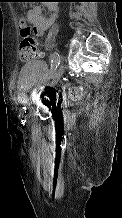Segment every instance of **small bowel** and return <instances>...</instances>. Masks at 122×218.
<instances>
[{
	"instance_id": "small-bowel-1",
	"label": "small bowel",
	"mask_w": 122,
	"mask_h": 218,
	"mask_svg": "<svg viewBox=\"0 0 122 218\" xmlns=\"http://www.w3.org/2000/svg\"><path fill=\"white\" fill-rule=\"evenodd\" d=\"M45 8L50 13L49 17H46L44 15L43 9L41 6H35L28 10L26 18L22 16L19 17V25L26 23V21L29 22L33 26L35 34L38 37H42L45 31L55 21L57 14H58V8L56 4L51 0L46 1ZM43 56L44 54L39 51L38 57H43Z\"/></svg>"
}]
</instances>
